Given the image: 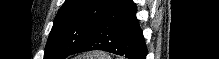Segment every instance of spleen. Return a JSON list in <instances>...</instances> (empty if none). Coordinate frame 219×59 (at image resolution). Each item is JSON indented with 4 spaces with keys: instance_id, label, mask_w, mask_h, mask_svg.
<instances>
[{
    "instance_id": "obj_1",
    "label": "spleen",
    "mask_w": 219,
    "mask_h": 59,
    "mask_svg": "<svg viewBox=\"0 0 219 59\" xmlns=\"http://www.w3.org/2000/svg\"><path fill=\"white\" fill-rule=\"evenodd\" d=\"M105 58L109 59V57H106L105 55L99 52H95L94 54L87 56V59H105Z\"/></svg>"
}]
</instances>
